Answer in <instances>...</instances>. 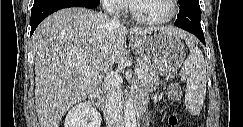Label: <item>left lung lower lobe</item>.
I'll list each match as a JSON object with an SVG mask.
<instances>
[{
  "label": "left lung lower lobe",
  "mask_w": 243,
  "mask_h": 127,
  "mask_svg": "<svg viewBox=\"0 0 243 127\" xmlns=\"http://www.w3.org/2000/svg\"><path fill=\"white\" fill-rule=\"evenodd\" d=\"M200 19L201 11L199 0H185L180 3V11L174 25L193 33L204 45H206Z\"/></svg>",
  "instance_id": "left-lung-lower-lobe-1"
}]
</instances>
